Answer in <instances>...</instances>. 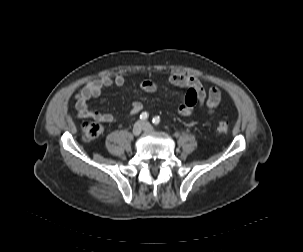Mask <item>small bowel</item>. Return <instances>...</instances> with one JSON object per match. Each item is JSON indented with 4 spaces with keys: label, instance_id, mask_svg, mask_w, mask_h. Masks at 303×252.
<instances>
[{
    "label": "small bowel",
    "instance_id": "small-bowel-1",
    "mask_svg": "<svg viewBox=\"0 0 303 252\" xmlns=\"http://www.w3.org/2000/svg\"><path fill=\"white\" fill-rule=\"evenodd\" d=\"M169 82L180 88L187 90L185 101L178 104L176 112L183 117L192 115L197 107L206 106L210 112H213L221 101V92L217 87H212L208 92L204 89L201 82L193 77L182 75L176 72H171L168 75ZM125 83L123 75L118 74L115 77L104 75L100 78L88 81L75 95L76 112L80 118H91L101 123H110L114 117L110 113H101L90 107L88 101L92 97L100 95V93L112 86L122 87ZM140 86L143 90L154 93L158 90L156 82L143 78L140 81ZM194 101V102H193ZM143 104L140 101L132 102L128 116H134L141 112Z\"/></svg>",
    "mask_w": 303,
    "mask_h": 252
}]
</instances>
